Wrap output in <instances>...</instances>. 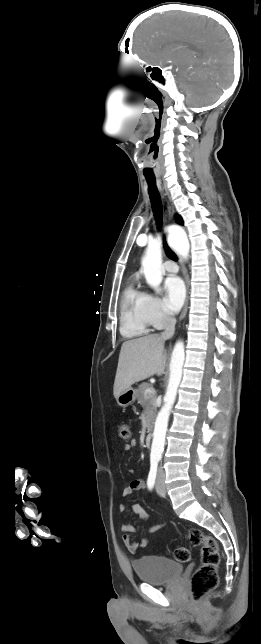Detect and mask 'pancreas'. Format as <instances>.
<instances>
[{
	"instance_id": "obj_1",
	"label": "pancreas",
	"mask_w": 261,
	"mask_h": 644,
	"mask_svg": "<svg viewBox=\"0 0 261 644\" xmlns=\"http://www.w3.org/2000/svg\"><path fill=\"white\" fill-rule=\"evenodd\" d=\"M149 383H142L137 390L138 403L144 408L147 418V428L152 429L153 421L156 414V393L145 396V390L151 388Z\"/></svg>"
}]
</instances>
